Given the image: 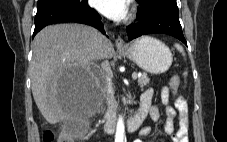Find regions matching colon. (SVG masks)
Instances as JSON below:
<instances>
[{"label": "colon", "instance_id": "1", "mask_svg": "<svg viewBox=\"0 0 227 142\" xmlns=\"http://www.w3.org/2000/svg\"><path fill=\"white\" fill-rule=\"evenodd\" d=\"M179 86V78L173 77L170 81V88L175 91ZM74 142V139L71 135L64 133L58 140L55 133L51 130H47L43 134V142Z\"/></svg>", "mask_w": 227, "mask_h": 142}]
</instances>
